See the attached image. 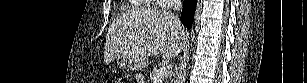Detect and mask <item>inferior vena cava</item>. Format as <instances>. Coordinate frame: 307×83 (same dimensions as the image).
I'll list each match as a JSON object with an SVG mask.
<instances>
[{
    "label": "inferior vena cava",
    "instance_id": "602c4592",
    "mask_svg": "<svg viewBox=\"0 0 307 83\" xmlns=\"http://www.w3.org/2000/svg\"><path fill=\"white\" fill-rule=\"evenodd\" d=\"M181 8H182V1L181 0H174V11H180Z\"/></svg>",
    "mask_w": 307,
    "mask_h": 83
}]
</instances>
